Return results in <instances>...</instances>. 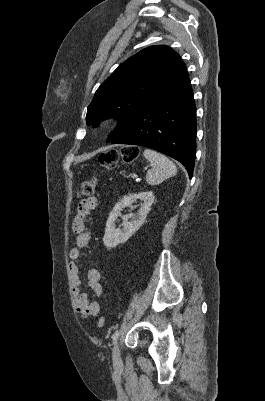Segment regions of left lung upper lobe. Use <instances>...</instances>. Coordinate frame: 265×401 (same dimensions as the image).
Instances as JSON below:
<instances>
[{"instance_id":"obj_1","label":"left lung upper lobe","mask_w":265,"mask_h":401,"mask_svg":"<svg viewBox=\"0 0 265 401\" xmlns=\"http://www.w3.org/2000/svg\"><path fill=\"white\" fill-rule=\"evenodd\" d=\"M186 69L180 56L165 45L145 48L120 64L97 89L87 109V124L118 119L110 142L151 101L162 94Z\"/></svg>"}]
</instances>
